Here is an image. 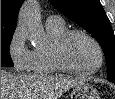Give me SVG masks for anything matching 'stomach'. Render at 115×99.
<instances>
[{
    "instance_id": "1",
    "label": "stomach",
    "mask_w": 115,
    "mask_h": 99,
    "mask_svg": "<svg viewBox=\"0 0 115 99\" xmlns=\"http://www.w3.org/2000/svg\"><path fill=\"white\" fill-rule=\"evenodd\" d=\"M70 99H100V96L92 85L82 82L72 89Z\"/></svg>"
}]
</instances>
